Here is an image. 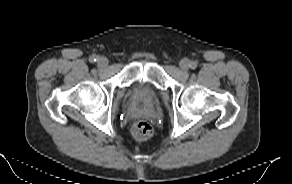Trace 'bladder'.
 <instances>
[{
  "instance_id": "31cf9c89",
  "label": "bladder",
  "mask_w": 292,
  "mask_h": 184,
  "mask_svg": "<svg viewBox=\"0 0 292 184\" xmlns=\"http://www.w3.org/2000/svg\"><path fill=\"white\" fill-rule=\"evenodd\" d=\"M130 96L139 102L153 103L159 96L158 89L148 82H137L129 88Z\"/></svg>"
}]
</instances>
